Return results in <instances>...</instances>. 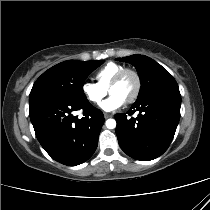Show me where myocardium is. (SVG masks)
<instances>
[{
  "instance_id": "myocardium-1",
  "label": "myocardium",
  "mask_w": 210,
  "mask_h": 210,
  "mask_svg": "<svg viewBox=\"0 0 210 210\" xmlns=\"http://www.w3.org/2000/svg\"><path fill=\"white\" fill-rule=\"evenodd\" d=\"M128 74L133 75L136 80V88H135L134 93L132 94L131 97H129L125 101L126 104H132L138 99L142 90V79H141L140 74L136 70L129 69V68H125L121 70L119 73L116 74V76L111 81L108 87V91H110L113 87L118 85L123 80V78Z\"/></svg>"
}]
</instances>
